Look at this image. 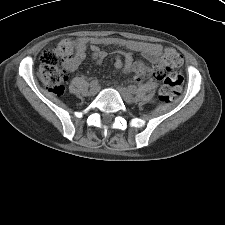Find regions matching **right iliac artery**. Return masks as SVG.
Segmentation results:
<instances>
[{"label":"right iliac artery","instance_id":"82829eb1","mask_svg":"<svg viewBox=\"0 0 225 225\" xmlns=\"http://www.w3.org/2000/svg\"><path fill=\"white\" fill-rule=\"evenodd\" d=\"M98 84V80L97 79H93L91 82H90V85H97Z\"/></svg>","mask_w":225,"mask_h":225}]
</instances>
